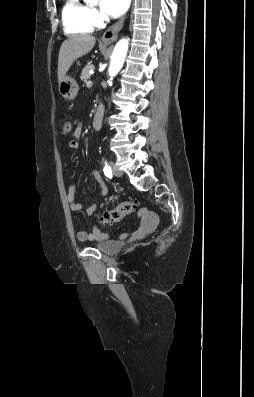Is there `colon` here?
<instances>
[{
	"instance_id": "colon-1",
	"label": "colon",
	"mask_w": 254,
	"mask_h": 397,
	"mask_svg": "<svg viewBox=\"0 0 254 397\" xmlns=\"http://www.w3.org/2000/svg\"><path fill=\"white\" fill-rule=\"evenodd\" d=\"M61 133L66 135L71 131V123L68 119L62 118L60 120ZM138 210V203L135 200H125L116 207L109 209L99 216V220L104 225H113L120 222L129 214L135 213Z\"/></svg>"
}]
</instances>
